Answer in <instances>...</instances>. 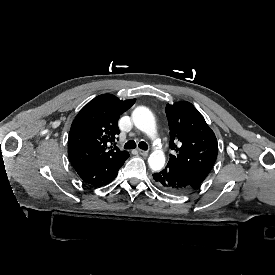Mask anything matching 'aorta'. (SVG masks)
I'll return each mask as SVG.
<instances>
[{
	"instance_id": "obj_1",
	"label": "aorta",
	"mask_w": 275,
	"mask_h": 275,
	"mask_svg": "<svg viewBox=\"0 0 275 275\" xmlns=\"http://www.w3.org/2000/svg\"><path fill=\"white\" fill-rule=\"evenodd\" d=\"M134 125L145 134L150 140L158 136L157 123L153 113L146 107H137L132 114ZM165 154L160 150H153L148 158L150 167L155 171H160L165 165Z\"/></svg>"
}]
</instances>
